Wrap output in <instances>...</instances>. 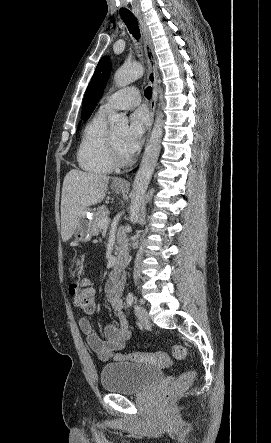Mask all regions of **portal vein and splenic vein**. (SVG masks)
<instances>
[{
	"label": "portal vein and splenic vein",
	"mask_w": 271,
	"mask_h": 443,
	"mask_svg": "<svg viewBox=\"0 0 271 443\" xmlns=\"http://www.w3.org/2000/svg\"><path fill=\"white\" fill-rule=\"evenodd\" d=\"M110 220H107V218H105V220H101L100 225H103V227H108Z\"/></svg>",
	"instance_id": "obj_1"
}]
</instances>
